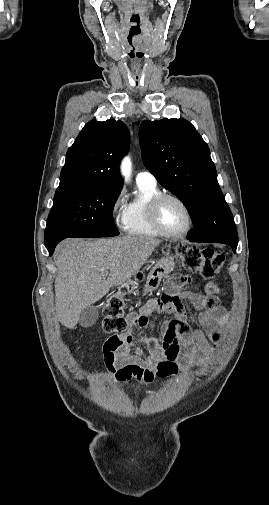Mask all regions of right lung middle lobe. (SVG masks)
Listing matches in <instances>:
<instances>
[{
	"instance_id": "dd1d6c3e",
	"label": "right lung middle lobe",
	"mask_w": 269,
	"mask_h": 505,
	"mask_svg": "<svg viewBox=\"0 0 269 505\" xmlns=\"http://www.w3.org/2000/svg\"><path fill=\"white\" fill-rule=\"evenodd\" d=\"M120 191L99 186L58 188L45 229V244L67 237L119 235L112 211Z\"/></svg>"
}]
</instances>
